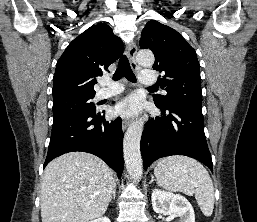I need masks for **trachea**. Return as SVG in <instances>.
Wrapping results in <instances>:
<instances>
[{
  "instance_id": "obj_1",
  "label": "trachea",
  "mask_w": 257,
  "mask_h": 222,
  "mask_svg": "<svg viewBox=\"0 0 257 222\" xmlns=\"http://www.w3.org/2000/svg\"><path fill=\"white\" fill-rule=\"evenodd\" d=\"M122 77H125L128 81H130L132 83L136 82V77L130 67V64L128 62V58L126 57V55H123L120 58L118 68L113 75V80L118 81ZM149 88H157V87L151 86Z\"/></svg>"
}]
</instances>
